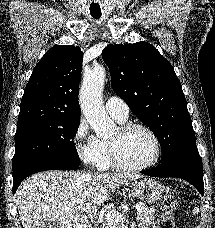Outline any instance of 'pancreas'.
<instances>
[{
  "instance_id": "pancreas-1",
  "label": "pancreas",
  "mask_w": 215,
  "mask_h": 228,
  "mask_svg": "<svg viewBox=\"0 0 215 228\" xmlns=\"http://www.w3.org/2000/svg\"><path fill=\"white\" fill-rule=\"evenodd\" d=\"M137 220H139L138 228H148L151 224H155L154 212L148 210V208L140 210V212H137ZM110 228H113V226H110ZM120 228H125V226H120Z\"/></svg>"
}]
</instances>
